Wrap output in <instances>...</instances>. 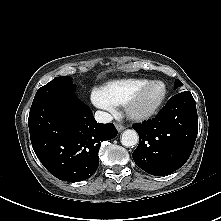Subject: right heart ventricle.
<instances>
[{"mask_svg":"<svg viewBox=\"0 0 221 221\" xmlns=\"http://www.w3.org/2000/svg\"><path fill=\"white\" fill-rule=\"evenodd\" d=\"M149 82L143 78H128L109 81L100 89L104 96L115 106H124L135 92Z\"/></svg>","mask_w":221,"mask_h":221,"instance_id":"right-heart-ventricle-1","label":"right heart ventricle"}]
</instances>
